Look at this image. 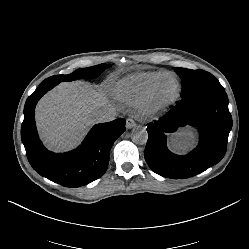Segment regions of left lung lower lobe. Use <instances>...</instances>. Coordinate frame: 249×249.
Listing matches in <instances>:
<instances>
[{
    "label": "left lung lower lobe",
    "instance_id": "1",
    "mask_svg": "<svg viewBox=\"0 0 249 249\" xmlns=\"http://www.w3.org/2000/svg\"><path fill=\"white\" fill-rule=\"evenodd\" d=\"M191 125L199 130V144L187 155H176L166 146V133ZM232 117L224 88H212L182 98L147 128L144 157L157 174L185 179L218 163L225 155Z\"/></svg>",
    "mask_w": 249,
    "mask_h": 249
}]
</instances>
